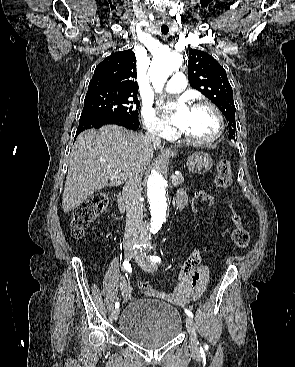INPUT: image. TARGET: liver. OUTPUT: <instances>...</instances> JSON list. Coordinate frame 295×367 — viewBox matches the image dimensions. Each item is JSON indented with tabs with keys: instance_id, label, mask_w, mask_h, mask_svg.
I'll return each mask as SVG.
<instances>
[{
	"instance_id": "liver-1",
	"label": "liver",
	"mask_w": 295,
	"mask_h": 367,
	"mask_svg": "<svg viewBox=\"0 0 295 367\" xmlns=\"http://www.w3.org/2000/svg\"><path fill=\"white\" fill-rule=\"evenodd\" d=\"M156 148L160 145L149 142L144 135L115 125L79 134L70 154L63 211L73 210L105 187L120 185L130 178L141 179ZM116 170L124 173L126 179H119L110 172Z\"/></svg>"
}]
</instances>
